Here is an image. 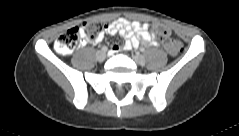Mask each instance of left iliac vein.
I'll return each instance as SVG.
<instances>
[{
    "mask_svg": "<svg viewBox=\"0 0 239 136\" xmlns=\"http://www.w3.org/2000/svg\"><path fill=\"white\" fill-rule=\"evenodd\" d=\"M132 59L134 60L135 63L143 65L145 63V58L141 54H134L132 55Z\"/></svg>",
    "mask_w": 239,
    "mask_h": 136,
    "instance_id": "left-iliac-vein-1",
    "label": "left iliac vein"
}]
</instances>
